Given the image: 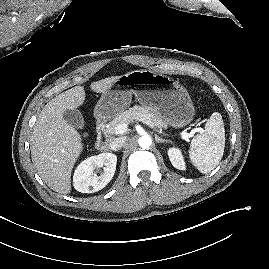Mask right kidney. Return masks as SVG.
Wrapping results in <instances>:
<instances>
[{"mask_svg": "<svg viewBox=\"0 0 269 269\" xmlns=\"http://www.w3.org/2000/svg\"><path fill=\"white\" fill-rule=\"evenodd\" d=\"M116 164L117 156L108 152L85 159L75 170L74 188L81 193H93L103 189L112 180ZM99 167H104V171L97 176L94 169Z\"/></svg>", "mask_w": 269, "mask_h": 269, "instance_id": "1", "label": "right kidney"}]
</instances>
